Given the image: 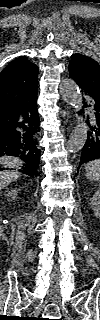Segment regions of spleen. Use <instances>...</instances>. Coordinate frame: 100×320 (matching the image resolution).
Returning <instances> with one entry per match:
<instances>
[{
  "instance_id": "obj_1",
  "label": "spleen",
  "mask_w": 100,
  "mask_h": 320,
  "mask_svg": "<svg viewBox=\"0 0 100 320\" xmlns=\"http://www.w3.org/2000/svg\"><path fill=\"white\" fill-rule=\"evenodd\" d=\"M85 171L87 179L98 182L100 180V160H94L87 163Z\"/></svg>"
}]
</instances>
